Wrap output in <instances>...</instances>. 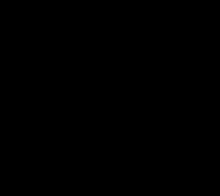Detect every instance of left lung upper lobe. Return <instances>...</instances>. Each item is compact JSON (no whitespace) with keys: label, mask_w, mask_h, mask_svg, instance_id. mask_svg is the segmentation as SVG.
<instances>
[{"label":"left lung upper lobe","mask_w":220,"mask_h":196,"mask_svg":"<svg viewBox=\"0 0 220 196\" xmlns=\"http://www.w3.org/2000/svg\"><path fill=\"white\" fill-rule=\"evenodd\" d=\"M146 65L153 79L148 131L157 141L167 142L191 117L193 84L183 64L169 54L152 53Z\"/></svg>","instance_id":"1"}]
</instances>
